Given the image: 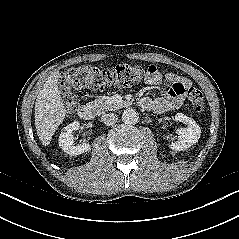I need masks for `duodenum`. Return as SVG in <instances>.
I'll return each instance as SVG.
<instances>
[{
	"label": "duodenum",
	"instance_id": "duodenum-1",
	"mask_svg": "<svg viewBox=\"0 0 239 239\" xmlns=\"http://www.w3.org/2000/svg\"><path fill=\"white\" fill-rule=\"evenodd\" d=\"M78 115L86 121L92 120L94 116L93 108L88 104H82L78 108Z\"/></svg>",
	"mask_w": 239,
	"mask_h": 239
}]
</instances>
